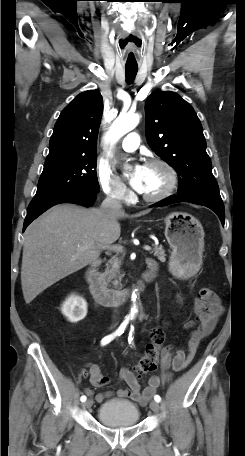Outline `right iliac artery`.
<instances>
[{"label": "right iliac artery", "instance_id": "1", "mask_svg": "<svg viewBox=\"0 0 245 456\" xmlns=\"http://www.w3.org/2000/svg\"><path fill=\"white\" fill-rule=\"evenodd\" d=\"M129 320L126 319L122 322V324L119 326V328L112 334L110 335H107L105 336L102 340H101V345L104 346V345H107L109 342H111L115 337L117 336H120L124 333L126 327H127V324H128ZM86 396L83 395L81 396L80 400L81 402H85L86 401Z\"/></svg>", "mask_w": 245, "mask_h": 456}]
</instances>
